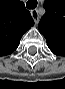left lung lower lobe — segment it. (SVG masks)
I'll return each instance as SVG.
<instances>
[{"label":"left lung lower lobe","instance_id":"left-lung-lower-lobe-1","mask_svg":"<svg viewBox=\"0 0 65 89\" xmlns=\"http://www.w3.org/2000/svg\"><path fill=\"white\" fill-rule=\"evenodd\" d=\"M49 49L57 56H65V46L47 44Z\"/></svg>","mask_w":65,"mask_h":89}]
</instances>
